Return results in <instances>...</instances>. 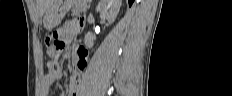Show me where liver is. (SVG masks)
Wrapping results in <instances>:
<instances>
[{
  "label": "liver",
  "instance_id": "liver-1",
  "mask_svg": "<svg viewBox=\"0 0 232 96\" xmlns=\"http://www.w3.org/2000/svg\"><path fill=\"white\" fill-rule=\"evenodd\" d=\"M40 15H43L50 4V0H38Z\"/></svg>",
  "mask_w": 232,
  "mask_h": 96
}]
</instances>
